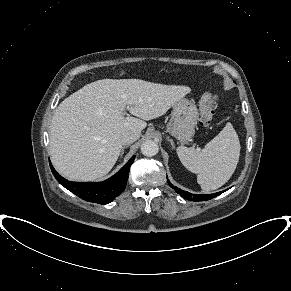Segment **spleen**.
Returning <instances> with one entry per match:
<instances>
[{"label":"spleen","instance_id":"3e777b00","mask_svg":"<svg viewBox=\"0 0 291 291\" xmlns=\"http://www.w3.org/2000/svg\"><path fill=\"white\" fill-rule=\"evenodd\" d=\"M240 142L231 123L202 150L179 146L177 154L181 163L197 174V182L205 191L223 186L234 173L240 155Z\"/></svg>","mask_w":291,"mask_h":291}]
</instances>
